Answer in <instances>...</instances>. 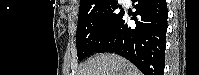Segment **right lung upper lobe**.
Listing matches in <instances>:
<instances>
[{
	"instance_id": "obj_1",
	"label": "right lung upper lobe",
	"mask_w": 199,
	"mask_h": 75,
	"mask_svg": "<svg viewBox=\"0 0 199 75\" xmlns=\"http://www.w3.org/2000/svg\"><path fill=\"white\" fill-rule=\"evenodd\" d=\"M111 0H81L79 14L87 12L99 5H102Z\"/></svg>"
}]
</instances>
